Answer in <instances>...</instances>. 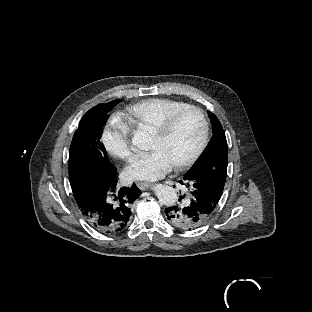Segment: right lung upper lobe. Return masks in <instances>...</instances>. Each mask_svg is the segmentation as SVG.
Instances as JSON below:
<instances>
[{
  "instance_id": "cb5924a9",
  "label": "right lung upper lobe",
  "mask_w": 312,
  "mask_h": 312,
  "mask_svg": "<svg viewBox=\"0 0 312 312\" xmlns=\"http://www.w3.org/2000/svg\"><path fill=\"white\" fill-rule=\"evenodd\" d=\"M121 100H114V101H111V102H113L114 104H116V103H118V102H120ZM110 103V102H109ZM109 103H107V104H100V105H97V106H106V105H108ZM103 234V233H102ZM105 235H107V234H105Z\"/></svg>"
}]
</instances>
